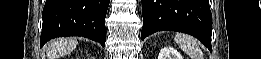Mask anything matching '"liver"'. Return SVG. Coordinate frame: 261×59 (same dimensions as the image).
Returning <instances> with one entry per match:
<instances>
[{"mask_svg":"<svg viewBox=\"0 0 261 59\" xmlns=\"http://www.w3.org/2000/svg\"><path fill=\"white\" fill-rule=\"evenodd\" d=\"M76 39L54 40L47 45V55L49 59H58L72 52L77 46Z\"/></svg>","mask_w":261,"mask_h":59,"instance_id":"6515ba94","label":"liver"}]
</instances>
